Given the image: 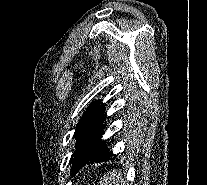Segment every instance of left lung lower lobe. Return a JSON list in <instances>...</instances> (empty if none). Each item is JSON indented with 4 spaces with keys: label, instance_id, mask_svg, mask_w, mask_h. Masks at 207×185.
Instances as JSON below:
<instances>
[{
    "label": "left lung lower lobe",
    "instance_id": "0a47b994",
    "mask_svg": "<svg viewBox=\"0 0 207 185\" xmlns=\"http://www.w3.org/2000/svg\"><path fill=\"white\" fill-rule=\"evenodd\" d=\"M112 156H113V154L110 152V150L108 148L101 153L87 154V155L81 157L78 160V162H76L72 166L71 171L73 173H75L78 169H80L81 167H83L84 165H86L88 163H92V162L99 163V162L107 161V160L111 159Z\"/></svg>",
    "mask_w": 207,
    "mask_h": 185
}]
</instances>
